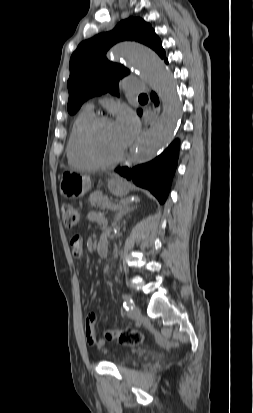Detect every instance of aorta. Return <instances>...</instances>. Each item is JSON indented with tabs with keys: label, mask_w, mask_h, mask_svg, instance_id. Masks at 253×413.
Returning <instances> with one entry per match:
<instances>
[{
	"label": "aorta",
	"mask_w": 253,
	"mask_h": 413,
	"mask_svg": "<svg viewBox=\"0 0 253 413\" xmlns=\"http://www.w3.org/2000/svg\"><path fill=\"white\" fill-rule=\"evenodd\" d=\"M111 54L115 59H123L127 67L139 71L154 86L162 100V114L136 145L134 161L137 164L145 163L154 159L174 138L182 115V101L170 71L154 51L142 44L126 41L113 47Z\"/></svg>",
	"instance_id": "762f6f07"
}]
</instances>
